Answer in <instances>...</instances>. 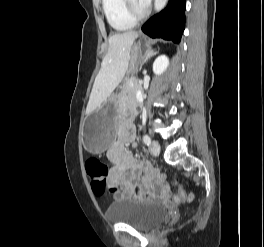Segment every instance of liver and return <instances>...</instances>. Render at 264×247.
Masks as SVG:
<instances>
[{"label": "liver", "mask_w": 264, "mask_h": 247, "mask_svg": "<svg viewBox=\"0 0 264 247\" xmlns=\"http://www.w3.org/2000/svg\"><path fill=\"white\" fill-rule=\"evenodd\" d=\"M138 35L135 31H128L109 37L108 52L95 79L86 114L100 107L125 76L129 66L131 47Z\"/></svg>", "instance_id": "liver-1"}]
</instances>
